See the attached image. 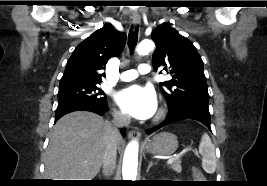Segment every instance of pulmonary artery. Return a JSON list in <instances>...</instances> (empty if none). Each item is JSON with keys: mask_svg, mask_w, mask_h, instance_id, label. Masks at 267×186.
Instances as JSON below:
<instances>
[{"mask_svg": "<svg viewBox=\"0 0 267 186\" xmlns=\"http://www.w3.org/2000/svg\"><path fill=\"white\" fill-rule=\"evenodd\" d=\"M151 71V66L148 64H140L137 70L131 69L120 74V80L131 81L137 78L138 74H148Z\"/></svg>", "mask_w": 267, "mask_h": 186, "instance_id": "obj_1", "label": "pulmonary artery"}]
</instances>
